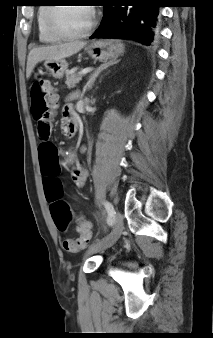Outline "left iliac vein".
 Wrapping results in <instances>:
<instances>
[{
  "instance_id": "4c4485c4",
  "label": "left iliac vein",
  "mask_w": 213,
  "mask_h": 338,
  "mask_svg": "<svg viewBox=\"0 0 213 338\" xmlns=\"http://www.w3.org/2000/svg\"><path fill=\"white\" fill-rule=\"evenodd\" d=\"M123 231V217L120 212H117L114 217V226L111 233L102 241L89 247L85 253V256H91L94 253L105 250L114 245L120 238Z\"/></svg>"
}]
</instances>
